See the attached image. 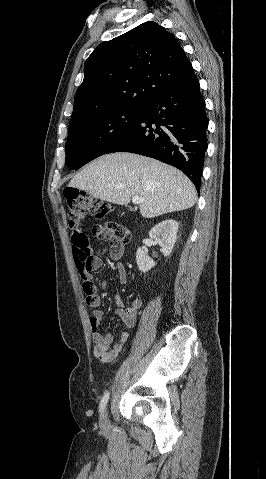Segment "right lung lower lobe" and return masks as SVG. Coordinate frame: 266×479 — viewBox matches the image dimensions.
Instances as JSON below:
<instances>
[{
    "mask_svg": "<svg viewBox=\"0 0 266 479\" xmlns=\"http://www.w3.org/2000/svg\"><path fill=\"white\" fill-rule=\"evenodd\" d=\"M205 100L195 74L150 99L138 121L104 154L131 152L184 172L198 193L207 149Z\"/></svg>",
    "mask_w": 266,
    "mask_h": 479,
    "instance_id": "obj_1",
    "label": "right lung lower lobe"
}]
</instances>
